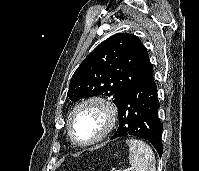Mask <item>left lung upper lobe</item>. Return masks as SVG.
Returning <instances> with one entry per match:
<instances>
[{"mask_svg":"<svg viewBox=\"0 0 199 171\" xmlns=\"http://www.w3.org/2000/svg\"><path fill=\"white\" fill-rule=\"evenodd\" d=\"M146 48L132 34H115L97 46L72 76L67 97L72 101L105 95L118 107L135 83L151 68Z\"/></svg>","mask_w":199,"mask_h":171,"instance_id":"left-lung-upper-lobe-1","label":"left lung upper lobe"}]
</instances>
